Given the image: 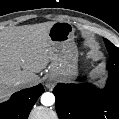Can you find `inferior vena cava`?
Masks as SVG:
<instances>
[{"label": "inferior vena cava", "instance_id": "602c4592", "mask_svg": "<svg viewBox=\"0 0 119 119\" xmlns=\"http://www.w3.org/2000/svg\"><path fill=\"white\" fill-rule=\"evenodd\" d=\"M29 81V77H20L15 81V85H24Z\"/></svg>", "mask_w": 119, "mask_h": 119}]
</instances>
